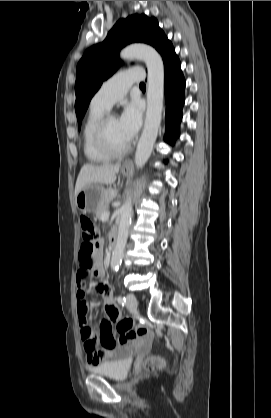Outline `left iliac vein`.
<instances>
[{
  "label": "left iliac vein",
  "mask_w": 271,
  "mask_h": 418,
  "mask_svg": "<svg viewBox=\"0 0 271 418\" xmlns=\"http://www.w3.org/2000/svg\"><path fill=\"white\" fill-rule=\"evenodd\" d=\"M127 308L130 312H135L137 310L138 302L136 297L133 294L127 295Z\"/></svg>",
  "instance_id": "1"
}]
</instances>
